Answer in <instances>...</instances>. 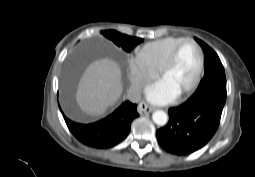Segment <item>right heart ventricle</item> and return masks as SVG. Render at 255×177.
I'll return each mask as SVG.
<instances>
[{"instance_id": "right-heart-ventricle-1", "label": "right heart ventricle", "mask_w": 255, "mask_h": 177, "mask_svg": "<svg viewBox=\"0 0 255 177\" xmlns=\"http://www.w3.org/2000/svg\"><path fill=\"white\" fill-rule=\"evenodd\" d=\"M182 37H167L145 44L137 53L153 68L160 70Z\"/></svg>"}]
</instances>
